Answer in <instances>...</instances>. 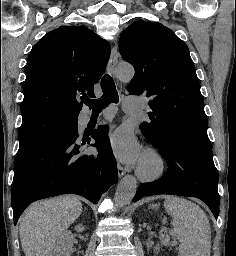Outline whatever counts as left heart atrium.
<instances>
[{
	"instance_id": "left-heart-atrium-1",
	"label": "left heart atrium",
	"mask_w": 236,
	"mask_h": 256,
	"mask_svg": "<svg viewBox=\"0 0 236 256\" xmlns=\"http://www.w3.org/2000/svg\"><path fill=\"white\" fill-rule=\"evenodd\" d=\"M108 144L115 157L124 163H138L143 156V148L133 131L128 127H120L108 138Z\"/></svg>"
}]
</instances>
